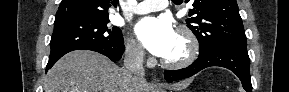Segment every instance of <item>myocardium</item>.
<instances>
[{
  "label": "myocardium",
  "instance_id": "myocardium-1",
  "mask_svg": "<svg viewBox=\"0 0 289 92\" xmlns=\"http://www.w3.org/2000/svg\"><path fill=\"white\" fill-rule=\"evenodd\" d=\"M177 34L184 39L187 44V53L178 60L162 59V64L170 69H181L192 64L199 54V42L190 28L181 25L177 28Z\"/></svg>",
  "mask_w": 289,
  "mask_h": 92
}]
</instances>
